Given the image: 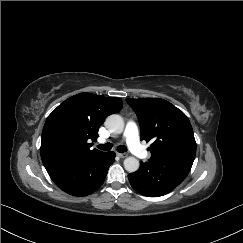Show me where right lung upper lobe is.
Returning <instances> with one entry per match:
<instances>
[{
	"label": "right lung upper lobe",
	"mask_w": 243,
	"mask_h": 243,
	"mask_svg": "<svg viewBox=\"0 0 243 243\" xmlns=\"http://www.w3.org/2000/svg\"><path fill=\"white\" fill-rule=\"evenodd\" d=\"M121 109L120 98L91 93H80L61 103L47 117L42 132L40 150L47 172L101 153L91 149L90 142L97 140L105 118Z\"/></svg>",
	"instance_id": "cb5924a9"
}]
</instances>
